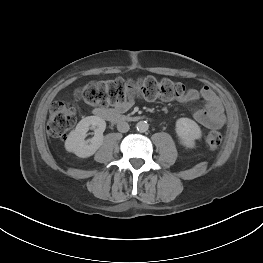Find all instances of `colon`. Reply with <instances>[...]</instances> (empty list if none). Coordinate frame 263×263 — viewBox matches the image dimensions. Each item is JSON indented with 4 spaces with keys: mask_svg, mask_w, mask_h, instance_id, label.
Masks as SVG:
<instances>
[{
    "mask_svg": "<svg viewBox=\"0 0 263 263\" xmlns=\"http://www.w3.org/2000/svg\"><path fill=\"white\" fill-rule=\"evenodd\" d=\"M187 93L185 85L168 78L156 79L152 76L139 79L117 78L108 81L90 82L75 93L79 100L93 106L120 105L134 96L153 101H171L182 98ZM77 122V110L71 104L56 101L48 120V133L55 138L65 136ZM223 139L221 132L208 131L204 140L211 147H218Z\"/></svg>",
    "mask_w": 263,
    "mask_h": 263,
    "instance_id": "obj_1",
    "label": "colon"
}]
</instances>
